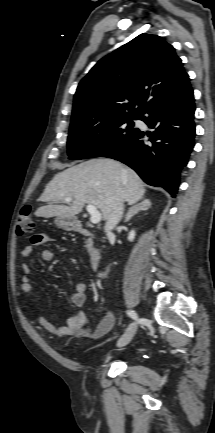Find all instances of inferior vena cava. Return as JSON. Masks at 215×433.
Returning <instances> with one entry per match:
<instances>
[{"instance_id":"inferior-vena-cava-1","label":"inferior vena cava","mask_w":215,"mask_h":433,"mask_svg":"<svg viewBox=\"0 0 215 433\" xmlns=\"http://www.w3.org/2000/svg\"><path fill=\"white\" fill-rule=\"evenodd\" d=\"M123 211H124V204L123 203H120L115 207L114 211L111 213V215L109 216V218L107 219V221L105 223L104 230H105L106 234H111V231L115 228V226L121 220L122 215H123Z\"/></svg>"}]
</instances>
